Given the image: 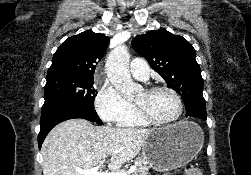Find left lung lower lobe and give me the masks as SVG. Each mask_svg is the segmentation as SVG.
<instances>
[{"instance_id": "left-lung-lower-lobe-1", "label": "left lung lower lobe", "mask_w": 251, "mask_h": 175, "mask_svg": "<svg viewBox=\"0 0 251 175\" xmlns=\"http://www.w3.org/2000/svg\"><path fill=\"white\" fill-rule=\"evenodd\" d=\"M186 116L206 120L207 113L205 103H189L186 105Z\"/></svg>"}]
</instances>
